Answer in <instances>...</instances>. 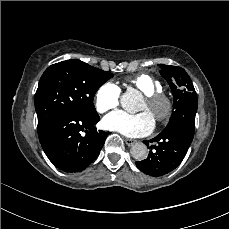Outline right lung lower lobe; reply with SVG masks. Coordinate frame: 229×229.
<instances>
[{
  "label": "right lung lower lobe",
  "mask_w": 229,
  "mask_h": 229,
  "mask_svg": "<svg viewBox=\"0 0 229 229\" xmlns=\"http://www.w3.org/2000/svg\"><path fill=\"white\" fill-rule=\"evenodd\" d=\"M96 118L63 113L38 132L48 159L65 172L84 170L100 154L109 132L97 131Z\"/></svg>",
  "instance_id": "obj_1"
}]
</instances>
